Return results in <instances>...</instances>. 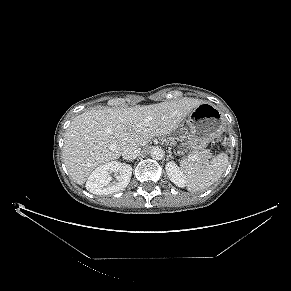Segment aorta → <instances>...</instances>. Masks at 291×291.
<instances>
[{"mask_svg": "<svg viewBox=\"0 0 291 291\" xmlns=\"http://www.w3.org/2000/svg\"><path fill=\"white\" fill-rule=\"evenodd\" d=\"M151 157L154 159V160H161L163 159L164 157V151L162 150V148L156 146V147H153L151 149Z\"/></svg>", "mask_w": 291, "mask_h": 291, "instance_id": "762f6f07", "label": "aorta"}]
</instances>
